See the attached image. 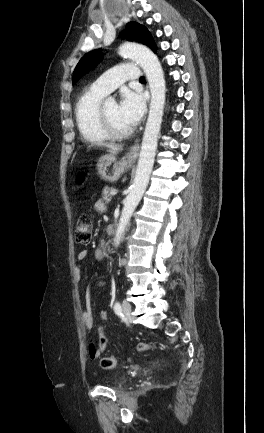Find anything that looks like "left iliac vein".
<instances>
[{
	"instance_id": "obj_1",
	"label": "left iliac vein",
	"mask_w": 264,
	"mask_h": 433,
	"mask_svg": "<svg viewBox=\"0 0 264 433\" xmlns=\"http://www.w3.org/2000/svg\"><path fill=\"white\" fill-rule=\"evenodd\" d=\"M122 309L123 313L126 316V318H130L131 316V305L128 301L124 300L122 303Z\"/></svg>"
}]
</instances>
